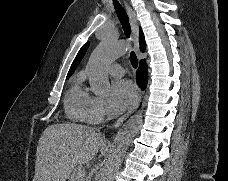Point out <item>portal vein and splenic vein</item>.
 Returning a JSON list of instances; mask_svg holds the SVG:
<instances>
[{"label":"portal vein and splenic vein","mask_w":228,"mask_h":181,"mask_svg":"<svg viewBox=\"0 0 228 181\" xmlns=\"http://www.w3.org/2000/svg\"><path fill=\"white\" fill-rule=\"evenodd\" d=\"M85 173H86V171H85ZM80 177H81V179H83V177H85V175H80Z\"/></svg>","instance_id":"18ae733b"}]
</instances>
